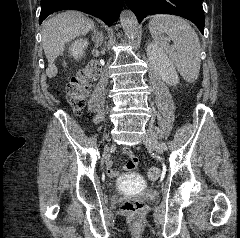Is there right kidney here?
Returning a JSON list of instances; mask_svg holds the SVG:
<instances>
[{
	"mask_svg": "<svg viewBox=\"0 0 240 238\" xmlns=\"http://www.w3.org/2000/svg\"><path fill=\"white\" fill-rule=\"evenodd\" d=\"M88 46L87 39H77L71 44L70 54L78 60L84 54V49Z\"/></svg>",
	"mask_w": 240,
	"mask_h": 238,
	"instance_id": "ca27d5eb",
	"label": "right kidney"
}]
</instances>
